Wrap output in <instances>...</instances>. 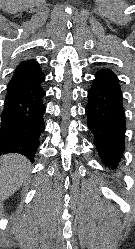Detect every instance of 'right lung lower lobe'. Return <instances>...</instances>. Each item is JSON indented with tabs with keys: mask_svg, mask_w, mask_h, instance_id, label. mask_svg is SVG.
I'll return each instance as SVG.
<instances>
[{
	"mask_svg": "<svg viewBox=\"0 0 135 249\" xmlns=\"http://www.w3.org/2000/svg\"><path fill=\"white\" fill-rule=\"evenodd\" d=\"M45 75L10 80L1 113L0 154L19 153L34 161L45 125Z\"/></svg>",
	"mask_w": 135,
	"mask_h": 249,
	"instance_id": "98d812e1",
	"label": "right lung lower lobe"
}]
</instances>
